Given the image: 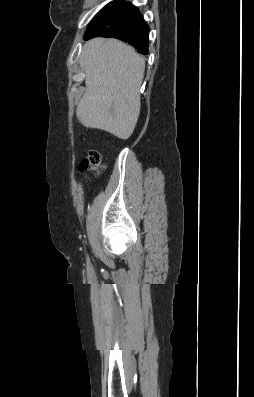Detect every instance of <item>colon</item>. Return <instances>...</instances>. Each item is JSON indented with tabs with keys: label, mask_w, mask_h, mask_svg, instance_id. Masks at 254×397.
<instances>
[{
	"label": "colon",
	"mask_w": 254,
	"mask_h": 397,
	"mask_svg": "<svg viewBox=\"0 0 254 397\" xmlns=\"http://www.w3.org/2000/svg\"><path fill=\"white\" fill-rule=\"evenodd\" d=\"M102 156L100 152L91 150L81 163V169L83 171L94 170L98 171L101 168Z\"/></svg>",
	"instance_id": "1"
}]
</instances>
